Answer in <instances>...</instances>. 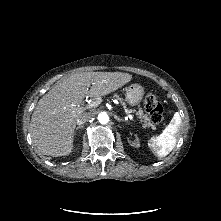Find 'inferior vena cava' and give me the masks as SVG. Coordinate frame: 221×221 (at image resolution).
I'll return each instance as SVG.
<instances>
[{"mask_svg": "<svg viewBox=\"0 0 221 221\" xmlns=\"http://www.w3.org/2000/svg\"><path fill=\"white\" fill-rule=\"evenodd\" d=\"M92 118H93V114L92 113L84 112L77 119V124L78 125L84 124V123L88 122L89 120H91Z\"/></svg>", "mask_w": 221, "mask_h": 221, "instance_id": "602c4592", "label": "inferior vena cava"}]
</instances>
